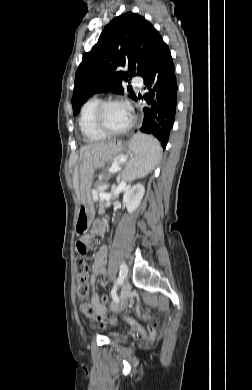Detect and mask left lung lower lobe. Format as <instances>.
Here are the masks:
<instances>
[{
  "mask_svg": "<svg viewBox=\"0 0 252 390\" xmlns=\"http://www.w3.org/2000/svg\"><path fill=\"white\" fill-rule=\"evenodd\" d=\"M141 77L148 92L138 98L154 108H143L144 120L140 131L156 137L165 149L175 119L178 90L173 59L165 42L162 41Z\"/></svg>",
  "mask_w": 252,
  "mask_h": 390,
  "instance_id": "0a47b994",
  "label": "left lung lower lobe"
}]
</instances>
